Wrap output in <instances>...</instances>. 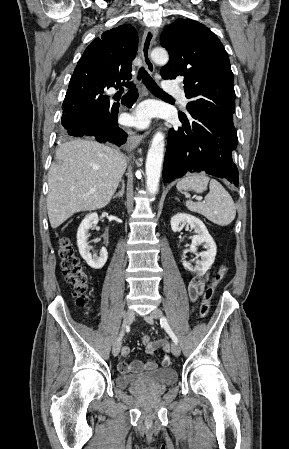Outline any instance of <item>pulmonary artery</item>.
<instances>
[{"instance_id": "1", "label": "pulmonary artery", "mask_w": 289, "mask_h": 449, "mask_svg": "<svg viewBox=\"0 0 289 449\" xmlns=\"http://www.w3.org/2000/svg\"><path fill=\"white\" fill-rule=\"evenodd\" d=\"M165 88H169V83H165L164 84ZM174 92L176 93V95L178 96L179 100L181 101V103L186 106L188 101L187 98L185 97L184 93L180 90H174Z\"/></svg>"}]
</instances>
